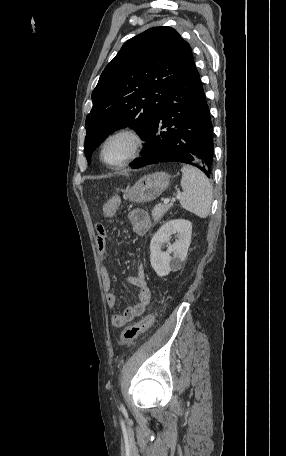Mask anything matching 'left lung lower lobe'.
Here are the masks:
<instances>
[{"mask_svg":"<svg viewBox=\"0 0 286 456\" xmlns=\"http://www.w3.org/2000/svg\"><path fill=\"white\" fill-rule=\"evenodd\" d=\"M142 157L133 169L157 162H182L210 177L213 126L194 61L174 83L145 137Z\"/></svg>","mask_w":286,"mask_h":456,"instance_id":"0a47b994","label":"left lung lower lobe"}]
</instances>
